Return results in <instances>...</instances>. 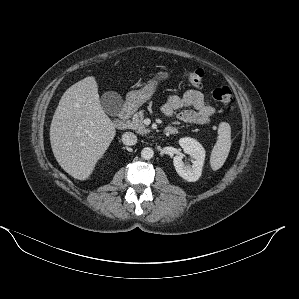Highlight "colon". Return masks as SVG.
Returning <instances> with one entry per match:
<instances>
[{
  "label": "colon",
  "mask_w": 299,
  "mask_h": 299,
  "mask_svg": "<svg viewBox=\"0 0 299 299\" xmlns=\"http://www.w3.org/2000/svg\"><path fill=\"white\" fill-rule=\"evenodd\" d=\"M184 78L193 86H200L203 82L204 71L202 69H193L185 72ZM212 95L215 100L228 108H232L234 105V98L232 90L228 86H220L213 90Z\"/></svg>",
  "instance_id": "5ec220e1"
}]
</instances>
